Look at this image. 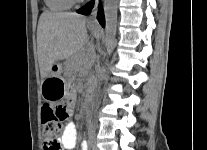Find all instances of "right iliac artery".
Wrapping results in <instances>:
<instances>
[{"label": "right iliac artery", "instance_id": "82829eb1", "mask_svg": "<svg viewBox=\"0 0 207 150\" xmlns=\"http://www.w3.org/2000/svg\"><path fill=\"white\" fill-rule=\"evenodd\" d=\"M82 150H87V142L86 141H84L82 143Z\"/></svg>", "mask_w": 207, "mask_h": 150}]
</instances>
